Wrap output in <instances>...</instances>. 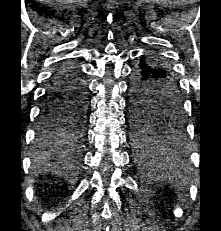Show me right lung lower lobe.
<instances>
[{"mask_svg": "<svg viewBox=\"0 0 221 231\" xmlns=\"http://www.w3.org/2000/svg\"><path fill=\"white\" fill-rule=\"evenodd\" d=\"M82 98L87 99L82 74L69 63L61 64L55 71L50 87L45 94L41 113L51 104H62L63 102H72ZM38 131L39 128L37 127V133ZM38 145L42 148H48L43 144L38 143Z\"/></svg>", "mask_w": 221, "mask_h": 231, "instance_id": "obj_1", "label": "right lung lower lobe"}]
</instances>
